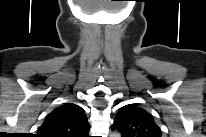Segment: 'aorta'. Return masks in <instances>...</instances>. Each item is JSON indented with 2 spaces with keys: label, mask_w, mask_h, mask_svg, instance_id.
Masks as SVG:
<instances>
[{
  "label": "aorta",
  "mask_w": 206,
  "mask_h": 137,
  "mask_svg": "<svg viewBox=\"0 0 206 137\" xmlns=\"http://www.w3.org/2000/svg\"><path fill=\"white\" fill-rule=\"evenodd\" d=\"M118 136H120V134L117 132L113 133V135H112V137H118Z\"/></svg>",
  "instance_id": "aorta-1"
}]
</instances>
